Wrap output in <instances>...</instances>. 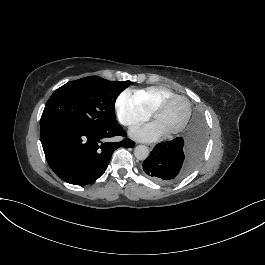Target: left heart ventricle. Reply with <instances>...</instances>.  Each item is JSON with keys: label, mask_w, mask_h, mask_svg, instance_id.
I'll return each mask as SVG.
<instances>
[{"label": "left heart ventricle", "mask_w": 265, "mask_h": 265, "mask_svg": "<svg viewBox=\"0 0 265 265\" xmlns=\"http://www.w3.org/2000/svg\"><path fill=\"white\" fill-rule=\"evenodd\" d=\"M184 111V103L181 100L174 99L157 112L154 121L167 132L180 123Z\"/></svg>", "instance_id": "obj_1"}]
</instances>
